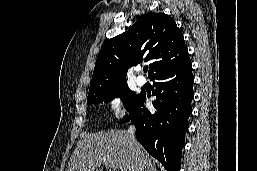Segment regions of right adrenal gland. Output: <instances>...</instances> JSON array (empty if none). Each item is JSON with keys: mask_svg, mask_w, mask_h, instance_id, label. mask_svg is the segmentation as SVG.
<instances>
[{"mask_svg": "<svg viewBox=\"0 0 257 171\" xmlns=\"http://www.w3.org/2000/svg\"><path fill=\"white\" fill-rule=\"evenodd\" d=\"M145 171H157V170H156V168H152V169L145 170Z\"/></svg>", "mask_w": 257, "mask_h": 171, "instance_id": "obj_1", "label": "right adrenal gland"}]
</instances>
